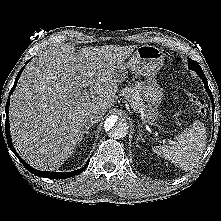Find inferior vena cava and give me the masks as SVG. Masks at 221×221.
I'll return each instance as SVG.
<instances>
[{
    "instance_id": "602c4592",
    "label": "inferior vena cava",
    "mask_w": 221,
    "mask_h": 221,
    "mask_svg": "<svg viewBox=\"0 0 221 221\" xmlns=\"http://www.w3.org/2000/svg\"><path fill=\"white\" fill-rule=\"evenodd\" d=\"M105 113L101 111H93L88 113L86 120L90 123H97L103 117Z\"/></svg>"
}]
</instances>
